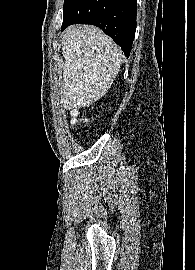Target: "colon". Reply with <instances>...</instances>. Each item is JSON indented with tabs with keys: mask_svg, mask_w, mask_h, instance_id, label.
<instances>
[{
	"mask_svg": "<svg viewBox=\"0 0 195 270\" xmlns=\"http://www.w3.org/2000/svg\"><path fill=\"white\" fill-rule=\"evenodd\" d=\"M71 122L75 126L86 123L85 120L79 118V114L77 112H73L72 113V120H71Z\"/></svg>",
	"mask_w": 195,
	"mask_h": 270,
	"instance_id": "1",
	"label": "colon"
}]
</instances>
